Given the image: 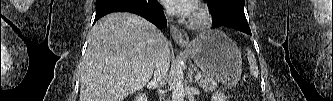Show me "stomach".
<instances>
[{"mask_svg": "<svg viewBox=\"0 0 333 101\" xmlns=\"http://www.w3.org/2000/svg\"><path fill=\"white\" fill-rule=\"evenodd\" d=\"M191 59L214 81L235 85L242 71V58L236 44L224 33L209 30L198 35L187 48Z\"/></svg>", "mask_w": 333, "mask_h": 101, "instance_id": "1", "label": "stomach"}]
</instances>
